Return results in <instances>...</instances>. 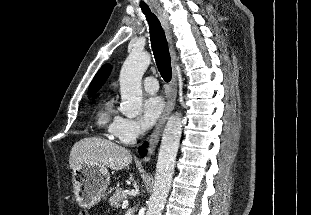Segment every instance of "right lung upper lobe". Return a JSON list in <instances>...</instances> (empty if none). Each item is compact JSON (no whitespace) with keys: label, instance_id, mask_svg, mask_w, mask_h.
Returning <instances> with one entry per match:
<instances>
[{"label":"right lung upper lobe","instance_id":"1","mask_svg":"<svg viewBox=\"0 0 311 215\" xmlns=\"http://www.w3.org/2000/svg\"><path fill=\"white\" fill-rule=\"evenodd\" d=\"M110 72H111V66L109 64H106V65L101 67V69L97 72V74L95 75V77L93 78V80L89 86L88 96H92L96 93V91L106 81Z\"/></svg>","mask_w":311,"mask_h":215}]
</instances>
